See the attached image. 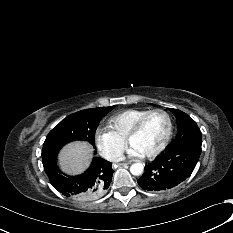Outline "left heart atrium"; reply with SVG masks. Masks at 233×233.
Masks as SVG:
<instances>
[{
	"instance_id": "obj_1",
	"label": "left heart atrium",
	"mask_w": 233,
	"mask_h": 233,
	"mask_svg": "<svg viewBox=\"0 0 233 233\" xmlns=\"http://www.w3.org/2000/svg\"><path fill=\"white\" fill-rule=\"evenodd\" d=\"M127 154L129 157H140L142 156L141 152L133 146H130Z\"/></svg>"
}]
</instances>
